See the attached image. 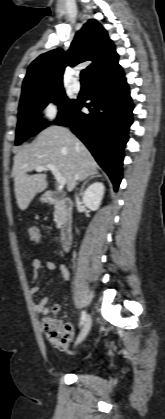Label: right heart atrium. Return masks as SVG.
I'll return each instance as SVG.
<instances>
[{
	"label": "right heart atrium",
	"instance_id": "right-heart-atrium-1",
	"mask_svg": "<svg viewBox=\"0 0 165 419\" xmlns=\"http://www.w3.org/2000/svg\"><path fill=\"white\" fill-rule=\"evenodd\" d=\"M62 106L59 100L51 99L45 103L42 109L44 118L49 122L56 121L61 114Z\"/></svg>",
	"mask_w": 165,
	"mask_h": 419
}]
</instances>
